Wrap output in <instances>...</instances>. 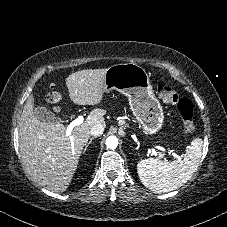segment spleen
<instances>
[{"instance_id": "3e777b00", "label": "spleen", "mask_w": 227, "mask_h": 227, "mask_svg": "<svg viewBox=\"0 0 227 227\" xmlns=\"http://www.w3.org/2000/svg\"><path fill=\"white\" fill-rule=\"evenodd\" d=\"M203 141L192 140L183 159L162 161L154 158L143 159L137 164V172L143 185L155 193H165L184 185L197 170Z\"/></svg>"}]
</instances>
